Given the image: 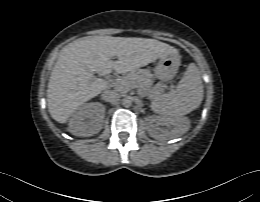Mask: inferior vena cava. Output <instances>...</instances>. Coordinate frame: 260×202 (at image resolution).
Segmentation results:
<instances>
[{
  "instance_id": "602c4592",
  "label": "inferior vena cava",
  "mask_w": 260,
  "mask_h": 202,
  "mask_svg": "<svg viewBox=\"0 0 260 202\" xmlns=\"http://www.w3.org/2000/svg\"><path fill=\"white\" fill-rule=\"evenodd\" d=\"M102 97L107 102H117L120 98V93L117 90L109 89L103 92Z\"/></svg>"
}]
</instances>
